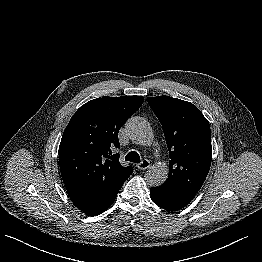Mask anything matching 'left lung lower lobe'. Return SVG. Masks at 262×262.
<instances>
[{
  "label": "left lung lower lobe",
  "mask_w": 262,
  "mask_h": 262,
  "mask_svg": "<svg viewBox=\"0 0 262 262\" xmlns=\"http://www.w3.org/2000/svg\"><path fill=\"white\" fill-rule=\"evenodd\" d=\"M151 200L167 211H177L188 205L196 194L184 191L167 183L151 187Z\"/></svg>",
  "instance_id": "0a47b994"
}]
</instances>
